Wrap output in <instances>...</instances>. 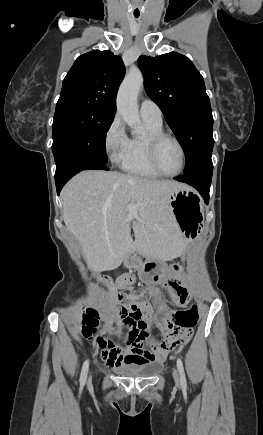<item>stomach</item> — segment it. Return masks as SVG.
<instances>
[{"instance_id": "stomach-1", "label": "stomach", "mask_w": 263, "mask_h": 435, "mask_svg": "<svg viewBox=\"0 0 263 435\" xmlns=\"http://www.w3.org/2000/svg\"><path fill=\"white\" fill-rule=\"evenodd\" d=\"M170 206L173 218L177 222L176 233H184L185 238H196L197 233H204L206 216H201V200L194 190L187 186L175 190L170 195ZM125 265L128 268L139 269L140 277L144 282H150L153 288L160 286L163 296L170 294V301L166 299L168 310L183 309L187 305L188 298L184 286L177 285L181 282V275L185 270L182 261L164 267L163 261L136 251L127 257Z\"/></svg>"}]
</instances>
